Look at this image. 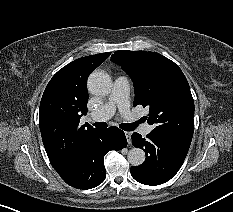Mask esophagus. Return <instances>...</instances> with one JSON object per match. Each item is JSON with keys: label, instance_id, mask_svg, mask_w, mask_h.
Masks as SVG:
<instances>
[{"label": "esophagus", "instance_id": "obj_1", "mask_svg": "<svg viewBox=\"0 0 233 212\" xmlns=\"http://www.w3.org/2000/svg\"><path fill=\"white\" fill-rule=\"evenodd\" d=\"M125 136H126V139H127V142L130 144L131 140V133L130 132H125Z\"/></svg>", "mask_w": 233, "mask_h": 212}]
</instances>
